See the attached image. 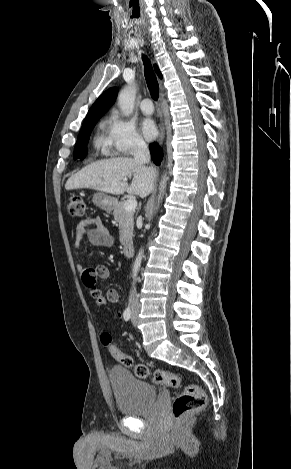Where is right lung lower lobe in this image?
<instances>
[{"instance_id":"right-lung-lower-lobe-1","label":"right lung lower lobe","mask_w":291,"mask_h":469,"mask_svg":"<svg viewBox=\"0 0 291 469\" xmlns=\"http://www.w3.org/2000/svg\"><path fill=\"white\" fill-rule=\"evenodd\" d=\"M152 159L156 165L160 164L162 159V150L157 143H152L149 145Z\"/></svg>"}]
</instances>
